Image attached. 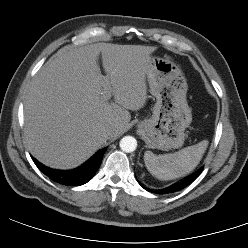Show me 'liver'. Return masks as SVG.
<instances>
[{
  "label": "liver",
  "instance_id": "6515ba94",
  "mask_svg": "<svg viewBox=\"0 0 248 248\" xmlns=\"http://www.w3.org/2000/svg\"><path fill=\"white\" fill-rule=\"evenodd\" d=\"M157 47L98 43L61 48L34 76L25 104V141L46 166H79L108 139L128 130L147 101L146 76ZM106 76L100 74L98 56ZM111 87L109 102L104 87ZM113 127L112 137L105 129Z\"/></svg>",
  "mask_w": 248,
  "mask_h": 248
}]
</instances>
